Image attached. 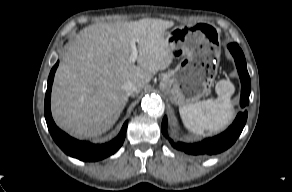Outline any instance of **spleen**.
<instances>
[{"mask_svg":"<svg viewBox=\"0 0 292 192\" xmlns=\"http://www.w3.org/2000/svg\"><path fill=\"white\" fill-rule=\"evenodd\" d=\"M217 99H208L179 108L184 126L192 133L204 135L205 131L219 132L233 118L230 98L235 92L234 85L229 80H220L216 84Z\"/></svg>","mask_w":292,"mask_h":192,"instance_id":"1","label":"spleen"}]
</instances>
